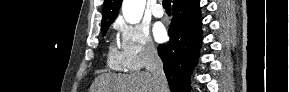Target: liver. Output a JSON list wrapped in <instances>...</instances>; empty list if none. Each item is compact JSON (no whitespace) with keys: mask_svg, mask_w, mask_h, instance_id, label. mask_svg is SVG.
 Listing matches in <instances>:
<instances>
[{"mask_svg":"<svg viewBox=\"0 0 289 92\" xmlns=\"http://www.w3.org/2000/svg\"><path fill=\"white\" fill-rule=\"evenodd\" d=\"M90 90V92H159L152 74L146 71L129 75L101 74L95 79ZM164 92H168V87Z\"/></svg>","mask_w":289,"mask_h":92,"instance_id":"1","label":"liver"}]
</instances>
